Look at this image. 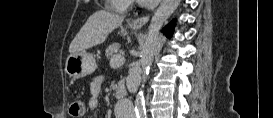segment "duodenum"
I'll return each instance as SVG.
<instances>
[{"label": "duodenum", "mask_w": 273, "mask_h": 118, "mask_svg": "<svg viewBox=\"0 0 273 118\" xmlns=\"http://www.w3.org/2000/svg\"><path fill=\"white\" fill-rule=\"evenodd\" d=\"M115 94L119 99L124 98L127 95V88L122 81H119L115 88Z\"/></svg>", "instance_id": "duodenum-1"}]
</instances>
